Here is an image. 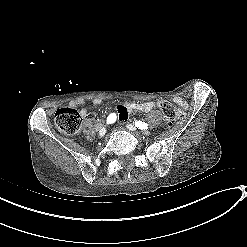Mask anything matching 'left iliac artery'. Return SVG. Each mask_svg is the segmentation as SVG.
I'll return each mask as SVG.
<instances>
[{"instance_id":"left-iliac-artery-1","label":"left iliac artery","mask_w":247,"mask_h":247,"mask_svg":"<svg viewBox=\"0 0 247 247\" xmlns=\"http://www.w3.org/2000/svg\"><path fill=\"white\" fill-rule=\"evenodd\" d=\"M135 126L138 128V129H147L148 128V124L145 123V122H142V121H135Z\"/></svg>"}]
</instances>
